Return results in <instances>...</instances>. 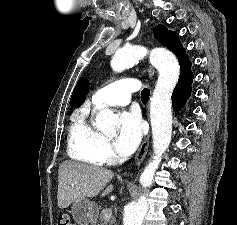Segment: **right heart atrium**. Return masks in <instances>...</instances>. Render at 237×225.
<instances>
[{
  "instance_id": "right-heart-atrium-1",
  "label": "right heart atrium",
  "mask_w": 237,
  "mask_h": 225,
  "mask_svg": "<svg viewBox=\"0 0 237 225\" xmlns=\"http://www.w3.org/2000/svg\"><path fill=\"white\" fill-rule=\"evenodd\" d=\"M98 152L103 162H112L116 159V155L108 139L103 138L98 146Z\"/></svg>"
}]
</instances>
